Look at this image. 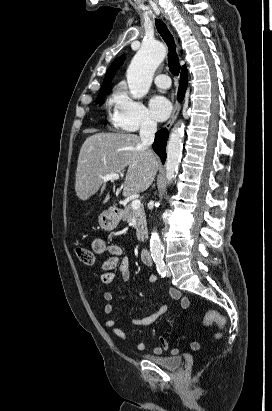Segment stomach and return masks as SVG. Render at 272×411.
<instances>
[{
    "label": "stomach",
    "instance_id": "obj_1",
    "mask_svg": "<svg viewBox=\"0 0 272 411\" xmlns=\"http://www.w3.org/2000/svg\"><path fill=\"white\" fill-rule=\"evenodd\" d=\"M100 227L105 231L114 230L120 222V217L111 210L102 212L98 217Z\"/></svg>",
    "mask_w": 272,
    "mask_h": 411
}]
</instances>
